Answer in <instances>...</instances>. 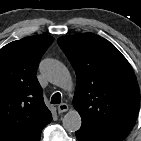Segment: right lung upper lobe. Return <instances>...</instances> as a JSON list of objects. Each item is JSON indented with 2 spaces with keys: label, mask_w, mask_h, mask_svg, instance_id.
<instances>
[{
  "label": "right lung upper lobe",
  "mask_w": 141,
  "mask_h": 141,
  "mask_svg": "<svg viewBox=\"0 0 141 141\" xmlns=\"http://www.w3.org/2000/svg\"><path fill=\"white\" fill-rule=\"evenodd\" d=\"M53 40L31 36L0 49V141H40L51 122L36 73Z\"/></svg>",
  "instance_id": "obj_1"
}]
</instances>
